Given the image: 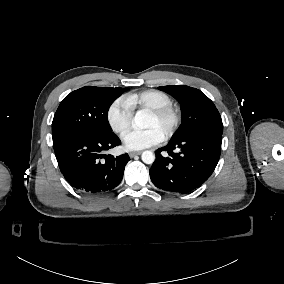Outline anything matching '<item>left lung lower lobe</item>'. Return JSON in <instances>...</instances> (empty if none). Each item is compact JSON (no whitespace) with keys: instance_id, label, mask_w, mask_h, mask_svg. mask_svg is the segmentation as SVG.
Listing matches in <instances>:
<instances>
[{"instance_id":"obj_1","label":"left lung lower lobe","mask_w":284,"mask_h":284,"mask_svg":"<svg viewBox=\"0 0 284 284\" xmlns=\"http://www.w3.org/2000/svg\"><path fill=\"white\" fill-rule=\"evenodd\" d=\"M221 143L222 134L209 131L171 138L167 146L156 151L157 158L149 171L153 184L179 194L196 189L213 173ZM162 151L169 156L163 157Z\"/></svg>"}]
</instances>
